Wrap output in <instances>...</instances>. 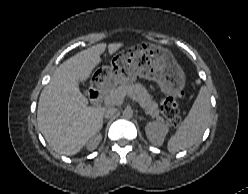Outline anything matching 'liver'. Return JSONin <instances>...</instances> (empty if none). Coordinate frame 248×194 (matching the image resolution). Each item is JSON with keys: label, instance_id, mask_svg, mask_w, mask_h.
<instances>
[{"label": "liver", "instance_id": "obj_1", "mask_svg": "<svg viewBox=\"0 0 248 194\" xmlns=\"http://www.w3.org/2000/svg\"><path fill=\"white\" fill-rule=\"evenodd\" d=\"M122 43H100L78 52L55 70L43 88L37 110V123L49 146L57 153L75 155L96 135L103 125V108L88 106L80 92L93 69L101 63L100 55L108 47L113 55Z\"/></svg>", "mask_w": 248, "mask_h": 194}]
</instances>
